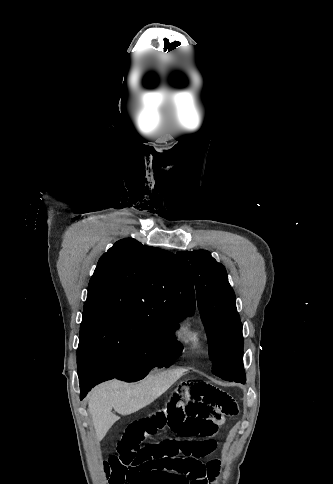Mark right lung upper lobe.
Returning <instances> with one entry per match:
<instances>
[{
    "mask_svg": "<svg viewBox=\"0 0 333 484\" xmlns=\"http://www.w3.org/2000/svg\"><path fill=\"white\" fill-rule=\"evenodd\" d=\"M97 308L191 315L192 279L173 253L122 239L101 256L90 279L84 309Z\"/></svg>",
    "mask_w": 333,
    "mask_h": 484,
    "instance_id": "right-lung-upper-lobe-1",
    "label": "right lung upper lobe"
}]
</instances>
